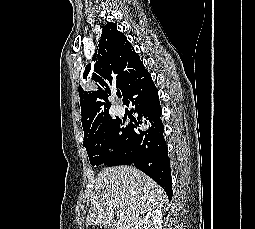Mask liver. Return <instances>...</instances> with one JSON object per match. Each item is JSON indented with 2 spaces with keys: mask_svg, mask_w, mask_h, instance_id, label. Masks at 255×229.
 <instances>
[{
  "mask_svg": "<svg viewBox=\"0 0 255 229\" xmlns=\"http://www.w3.org/2000/svg\"><path fill=\"white\" fill-rule=\"evenodd\" d=\"M95 188L86 224L110 225L112 229H135L141 216L160 209L166 198L156 182L133 166L103 169L96 177ZM120 210L122 215H118Z\"/></svg>",
  "mask_w": 255,
  "mask_h": 229,
  "instance_id": "obj_1",
  "label": "liver"
}]
</instances>
